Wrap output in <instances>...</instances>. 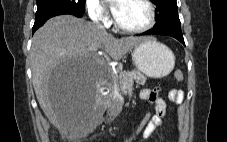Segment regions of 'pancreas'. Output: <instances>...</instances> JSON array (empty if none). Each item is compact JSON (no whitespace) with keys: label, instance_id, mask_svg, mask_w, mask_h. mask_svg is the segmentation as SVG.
Wrapping results in <instances>:
<instances>
[{"label":"pancreas","instance_id":"cf45deb5","mask_svg":"<svg viewBox=\"0 0 227 142\" xmlns=\"http://www.w3.org/2000/svg\"><path fill=\"white\" fill-rule=\"evenodd\" d=\"M134 81L139 85L146 83V77L139 70L123 71L116 79V88L123 95H127Z\"/></svg>","mask_w":227,"mask_h":142}]
</instances>
